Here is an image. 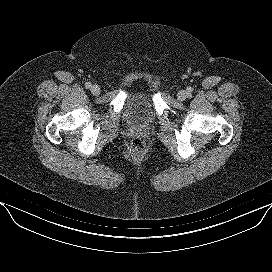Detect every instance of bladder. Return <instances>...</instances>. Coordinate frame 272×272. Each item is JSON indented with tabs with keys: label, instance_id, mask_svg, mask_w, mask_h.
<instances>
[{
	"label": "bladder",
	"instance_id": "31cf9c89",
	"mask_svg": "<svg viewBox=\"0 0 272 272\" xmlns=\"http://www.w3.org/2000/svg\"><path fill=\"white\" fill-rule=\"evenodd\" d=\"M126 119L133 125L146 126L155 117L153 102L145 89L136 90L127 101Z\"/></svg>",
	"mask_w": 272,
	"mask_h": 272
}]
</instances>
